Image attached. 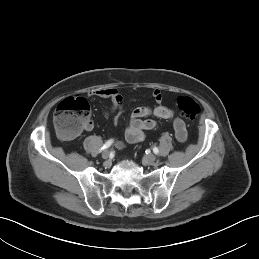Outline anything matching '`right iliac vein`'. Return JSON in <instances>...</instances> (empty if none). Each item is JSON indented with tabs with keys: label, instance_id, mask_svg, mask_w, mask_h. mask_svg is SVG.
Masks as SVG:
<instances>
[{
	"label": "right iliac vein",
	"instance_id": "1",
	"mask_svg": "<svg viewBox=\"0 0 259 259\" xmlns=\"http://www.w3.org/2000/svg\"><path fill=\"white\" fill-rule=\"evenodd\" d=\"M102 158L106 160V161H105V166L109 167V166L111 165V161H110V159H109V151H107V150L104 151V152L102 153Z\"/></svg>",
	"mask_w": 259,
	"mask_h": 259
}]
</instances>
